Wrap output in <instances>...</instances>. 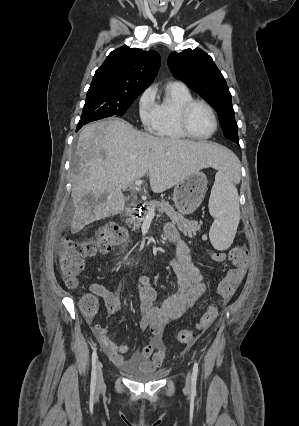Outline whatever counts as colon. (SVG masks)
Masks as SVG:
<instances>
[{
    "label": "colon",
    "mask_w": 299,
    "mask_h": 426,
    "mask_svg": "<svg viewBox=\"0 0 299 426\" xmlns=\"http://www.w3.org/2000/svg\"><path fill=\"white\" fill-rule=\"evenodd\" d=\"M126 238L125 231L115 223H106L99 227L96 234L89 239L75 241L64 239L59 249V267L69 288H75L78 277L82 272L86 258L96 253H106L121 244ZM212 258L217 262L229 260L233 267L230 268L221 279L217 287L219 303L228 302L235 294L243 281L249 262V253L245 246H237L229 252H215ZM80 306L83 313L93 317L98 311V299L95 294H86L81 298ZM218 315V308L211 307L203 315L197 324V330L201 331L209 327ZM196 338V331L186 329L180 331L176 341L180 344H190Z\"/></svg>",
    "instance_id": "obj_1"
}]
</instances>
